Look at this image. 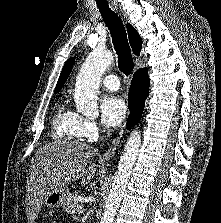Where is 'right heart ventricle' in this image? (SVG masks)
I'll return each instance as SVG.
<instances>
[{
  "instance_id": "e07e8e85",
  "label": "right heart ventricle",
  "mask_w": 221,
  "mask_h": 223,
  "mask_svg": "<svg viewBox=\"0 0 221 223\" xmlns=\"http://www.w3.org/2000/svg\"><path fill=\"white\" fill-rule=\"evenodd\" d=\"M78 116L70 110L60 107L52 120L53 137L57 140L75 141L80 138L77 129Z\"/></svg>"
}]
</instances>
